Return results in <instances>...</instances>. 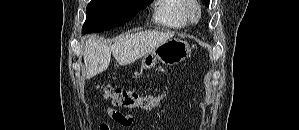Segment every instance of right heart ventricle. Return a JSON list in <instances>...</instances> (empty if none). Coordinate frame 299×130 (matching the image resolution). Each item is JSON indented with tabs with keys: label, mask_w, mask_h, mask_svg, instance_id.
Here are the masks:
<instances>
[{
	"label": "right heart ventricle",
	"mask_w": 299,
	"mask_h": 130,
	"mask_svg": "<svg viewBox=\"0 0 299 130\" xmlns=\"http://www.w3.org/2000/svg\"><path fill=\"white\" fill-rule=\"evenodd\" d=\"M187 0H159L154 10V20L157 24L181 29L188 25L185 16Z\"/></svg>",
	"instance_id": "1"
}]
</instances>
